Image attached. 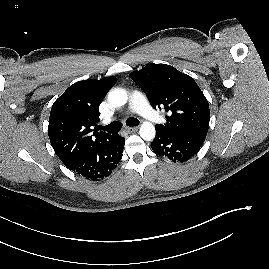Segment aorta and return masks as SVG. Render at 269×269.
<instances>
[{
    "label": "aorta",
    "instance_id": "aorta-1",
    "mask_svg": "<svg viewBox=\"0 0 269 269\" xmlns=\"http://www.w3.org/2000/svg\"><path fill=\"white\" fill-rule=\"evenodd\" d=\"M128 95L124 89L115 88L108 94V101L115 107H121L127 103ZM140 136L145 141H151L155 138V127L151 122L145 121L140 127Z\"/></svg>",
    "mask_w": 269,
    "mask_h": 269
}]
</instances>
